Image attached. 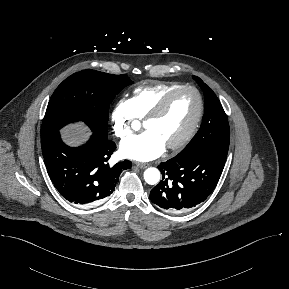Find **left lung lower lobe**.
Instances as JSON below:
<instances>
[{"instance_id":"1","label":"left lung lower lobe","mask_w":289,"mask_h":289,"mask_svg":"<svg viewBox=\"0 0 289 289\" xmlns=\"http://www.w3.org/2000/svg\"><path fill=\"white\" fill-rule=\"evenodd\" d=\"M228 150L208 148L182 159L162 162V180L150 192L160 208L179 213L191 210L212 193L222 174Z\"/></svg>"}]
</instances>
